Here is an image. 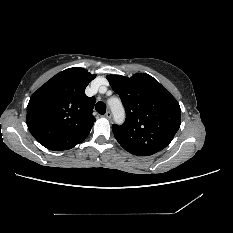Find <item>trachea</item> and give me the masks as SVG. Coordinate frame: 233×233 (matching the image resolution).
Masks as SVG:
<instances>
[{
  "instance_id": "3493384b",
  "label": "trachea",
  "mask_w": 233,
  "mask_h": 233,
  "mask_svg": "<svg viewBox=\"0 0 233 233\" xmlns=\"http://www.w3.org/2000/svg\"><path fill=\"white\" fill-rule=\"evenodd\" d=\"M95 109L99 114L104 115L106 112V104L102 101H99L96 103Z\"/></svg>"
}]
</instances>
